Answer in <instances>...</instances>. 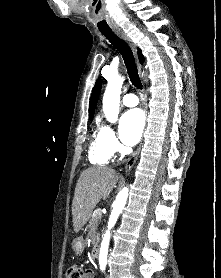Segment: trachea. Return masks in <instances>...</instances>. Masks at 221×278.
<instances>
[{
	"instance_id": "1",
	"label": "trachea",
	"mask_w": 221,
	"mask_h": 278,
	"mask_svg": "<svg viewBox=\"0 0 221 278\" xmlns=\"http://www.w3.org/2000/svg\"><path fill=\"white\" fill-rule=\"evenodd\" d=\"M101 33L121 53L127 68L130 81L133 86L137 89L142 90V83L138 74L133 52L129 45L125 41L120 39L112 30H101Z\"/></svg>"
}]
</instances>
